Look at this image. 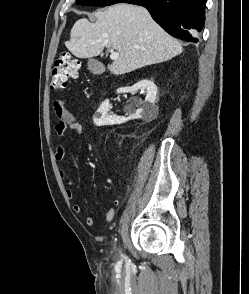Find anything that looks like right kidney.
<instances>
[{
  "instance_id": "right-kidney-1",
  "label": "right kidney",
  "mask_w": 249,
  "mask_h": 294,
  "mask_svg": "<svg viewBox=\"0 0 249 294\" xmlns=\"http://www.w3.org/2000/svg\"><path fill=\"white\" fill-rule=\"evenodd\" d=\"M146 90V97L144 101L135 100L134 104L137 109H131L127 118L117 115H109L110 110L109 100L102 102L96 113L94 114L93 121L96 126L122 124L132 119H144L151 121L158 115V107L155 106V99L157 94V87L153 81L143 79L131 87H122L117 90V93L129 92L134 94L137 90Z\"/></svg>"
}]
</instances>
